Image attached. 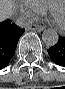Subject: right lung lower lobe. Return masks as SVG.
I'll return each instance as SVG.
<instances>
[{"instance_id":"right-lung-lower-lobe-1","label":"right lung lower lobe","mask_w":65,"mask_h":89,"mask_svg":"<svg viewBox=\"0 0 65 89\" xmlns=\"http://www.w3.org/2000/svg\"><path fill=\"white\" fill-rule=\"evenodd\" d=\"M24 31L9 20L0 22V69L9 64Z\"/></svg>"}]
</instances>
